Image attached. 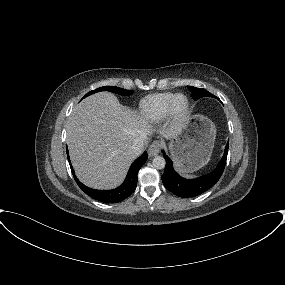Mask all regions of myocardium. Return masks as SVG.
I'll use <instances>...</instances> for the list:
<instances>
[{"instance_id":"myocardium-1","label":"myocardium","mask_w":285,"mask_h":285,"mask_svg":"<svg viewBox=\"0 0 285 285\" xmlns=\"http://www.w3.org/2000/svg\"><path fill=\"white\" fill-rule=\"evenodd\" d=\"M184 99L185 103L183 106H179L178 101ZM190 112V101L184 94H176L170 104V117L176 124L184 122Z\"/></svg>"}]
</instances>
